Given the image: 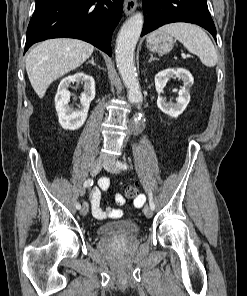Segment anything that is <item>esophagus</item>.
Masks as SVG:
<instances>
[{"label":"esophagus","mask_w":247,"mask_h":296,"mask_svg":"<svg viewBox=\"0 0 247 296\" xmlns=\"http://www.w3.org/2000/svg\"><path fill=\"white\" fill-rule=\"evenodd\" d=\"M137 7V0H124V12L130 15Z\"/></svg>","instance_id":"esophagus-1"}]
</instances>
